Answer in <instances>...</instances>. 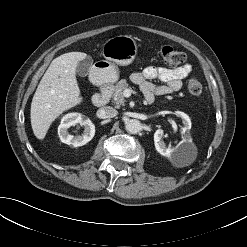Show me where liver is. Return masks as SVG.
Returning <instances> with one entry per match:
<instances>
[{
  "mask_svg": "<svg viewBox=\"0 0 247 247\" xmlns=\"http://www.w3.org/2000/svg\"><path fill=\"white\" fill-rule=\"evenodd\" d=\"M86 56L83 52L62 54L51 62L42 77L30 110L31 126L37 139L45 138L50 125L60 114L83 101L76 68Z\"/></svg>",
  "mask_w": 247,
  "mask_h": 247,
  "instance_id": "liver-1",
  "label": "liver"
}]
</instances>
